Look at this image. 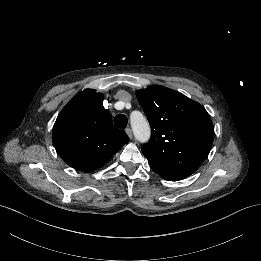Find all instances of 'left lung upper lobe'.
Masks as SVG:
<instances>
[{"mask_svg": "<svg viewBox=\"0 0 261 261\" xmlns=\"http://www.w3.org/2000/svg\"><path fill=\"white\" fill-rule=\"evenodd\" d=\"M136 95L151 126V138L142 152L152 170L169 181L193 174L207 158L214 138L205 108L160 85L138 90Z\"/></svg>", "mask_w": 261, "mask_h": 261, "instance_id": "5c2ea615", "label": "left lung upper lobe"}]
</instances>
